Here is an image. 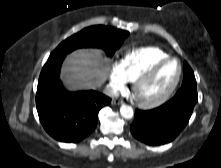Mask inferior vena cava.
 Masks as SVG:
<instances>
[{
  "label": "inferior vena cava",
  "instance_id": "obj_1",
  "mask_svg": "<svg viewBox=\"0 0 221 168\" xmlns=\"http://www.w3.org/2000/svg\"><path fill=\"white\" fill-rule=\"evenodd\" d=\"M104 94L109 97H118L119 96L117 89H115L111 86H106V88L104 89Z\"/></svg>",
  "mask_w": 221,
  "mask_h": 168
}]
</instances>
